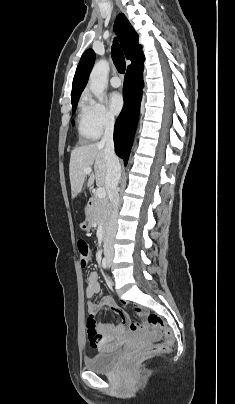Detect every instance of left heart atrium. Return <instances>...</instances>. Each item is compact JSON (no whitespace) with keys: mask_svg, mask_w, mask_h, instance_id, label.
Masks as SVG:
<instances>
[{"mask_svg":"<svg viewBox=\"0 0 235 404\" xmlns=\"http://www.w3.org/2000/svg\"><path fill=\"white\" fill-rule=\"evenodd\" d=\"M108 104L111 112L117 115L124 107V99L120 93L113 92L109 96Z\"/></svg>","mask_w":235,"mask_h":404,"instance_id":"39dd6f15","label":"left heart atrium"}]
</instances>
